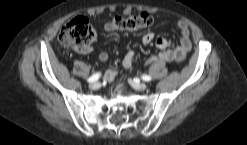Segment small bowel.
<instances>
[{
    "instance_id": "small-bowel-1",
    "label": "small bowel",
    "mask_w": 247,
    "mask_h": 145,
    "mask_svg": "<svg viewBox=\"0 0 247 145\" xmlns=\"http://www.w3.org/2000/svg\"><path fill=\"white\" fill-rule=\"evenodd\" d=\"M105 30L111 32L113 29L110 26V22L105 23ZM177 28L180 33V40L177 46H173L172 42L166 38L158 37L156 38L154 33L147 32L142 38L141 42L144 45H148L152 42H155V47L159 50L157 56L151 57L147 63H156V62H182L185 60L187 53L191 49V41H190V31L188 24L184 20H179L177 22ZM93 50L92 46L87 47L84 50L78 51L81 54L91 53ZM134 55L132 52H128L125 57V65L129 67L131 62L133 61ZM98 60L100 62H106L108 60V53L101 52L98 56ZM118 74V70L116 68H110L105 73V79L108 82L114 81Z\"/></svg>"
}]
</instances>
